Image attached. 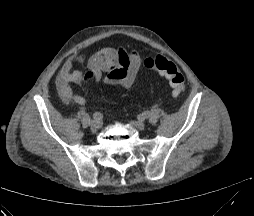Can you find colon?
I'll use <instances>...</instances> for the list:
<instances>
[{"label":"colon","mask_w":254,"mask_h":216,"mask_svg":"<svg viewBox=\"0 0 254 216\" xmlns=\"http://www.w3.org/2000/svg\"><path fill=\"white\" fill-rule=\"evenodd\" d=\"M143 66L146 69L152 70L160 76L166 78L171 87L174 97L180 96L185 89V80L183 74L177 66L169 59L163 56L148 57L143 61ZM94 72L91 70L83 74V81L90 82L94 79Z\"/></svg>","instance_id":"5ec220e1"}]
</instances>
